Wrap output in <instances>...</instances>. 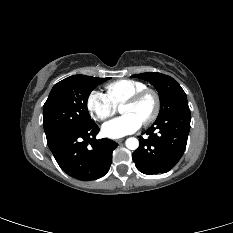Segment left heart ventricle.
Listing matches in <instances>:
<instances>
[{
    "mask_svg": "<svg viewBox=\"0 0 233 233\" xmlns=\"http://www.w3.org/2000/svg\"><path fill=\"white\" fill-rule=\"evenodd\" d=\"M155 102L152 96L144 97L135 105H125L120 108V112L124 114H132L142 123L148 119L154 111Z\"/></svg>",
    "mask_w": 233,
    "mask_h": 233,
    "instance_id": "1",
    "label": "left heart ventricle"
}]
</instances>
